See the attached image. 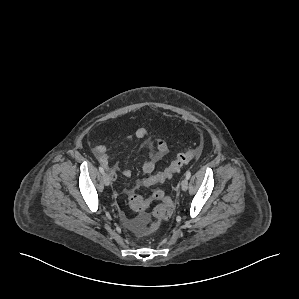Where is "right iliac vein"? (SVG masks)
<instances>
[{"label": "right iliac vein", "mask_w": 299, "mask_h": 299, "mask_svg": "<svg viewBox=\"0 0 299 299\" xmlns=\"http://www.w3.org/2000/svg\"><path fill=\"white\" fill-rule=\"evenodd\" d=\"M103 182H104V184L106 185V186H109L110 185V183H111V178L109 177V175L108 174H106V173H103Z\"/></svg>", "instance_id": "obj_1"}]
</instances>
